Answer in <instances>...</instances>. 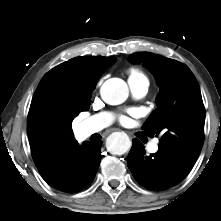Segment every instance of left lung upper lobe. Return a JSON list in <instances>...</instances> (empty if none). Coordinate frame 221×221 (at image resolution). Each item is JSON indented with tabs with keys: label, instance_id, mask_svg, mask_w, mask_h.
Instances as JSON below:
<instances>
[{
	"label": "left lung upper lobe",
	"instance_id": "obj_1",
	"mask_svg": "<svg viewBox=\"0 0 221 221\" xmlns=\"http://www.w3.org/2000/svg\"><path fill=\"white\" fill-rule=\"evenodd\" d=\"M130 59L143 62L160 86L158 107L143 129L161 135L158 150L168 154L188 173L204 141L205 108L196 78L186 65L157 54L139 52Z\"/></svg>",
	"mask_w": 221,
	"mask_h": 221
}]
</instances>
